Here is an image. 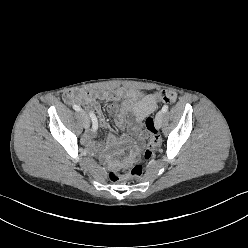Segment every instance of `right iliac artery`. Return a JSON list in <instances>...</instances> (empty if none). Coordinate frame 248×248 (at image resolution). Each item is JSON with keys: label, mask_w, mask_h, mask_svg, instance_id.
I'll list each match as a JSON object with an SVG mask.
<instances>
[{"label": "right iliac artery", "mask_w": 248, "mask_h": 248, "mask_svg": "<svg viewBox=\"0 0 248 248\" xmlns=\"http://www.w3.org/2000/svg\"><path fill=\"white\" fill-rule=\"evenodd\" d=\"M73 108L76 110V111H81L82 109L80 108V106L74 104L73 105ZM90 117L92 119V129L93 130H96L98 128V122H97V119L95 117V115L93 113H90Z\"/></svg>", "instance_id": "82829eb1"}]
</instances>
